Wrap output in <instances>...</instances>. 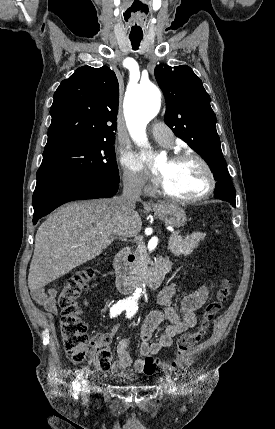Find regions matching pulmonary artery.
I'll return each instance as SVG.
<instances>
[{
  "label": "pulmonary artery",
  "mask_w": 275,
  "mask_h": 429,
  "mask_svg": "<svg viewBox=\"0 0 275 429\" xmlns=\"http://www.w3.org/2000/svg\"><path fill=\"white\" fill-rule=\"evenodd\" d=\"M152 135L163 146L170 147L173 144V134L164 126L155 125L152 128Z\"/></svg>",
  "instance_id": "pulmonary-artery-1"
}]
</instances>
